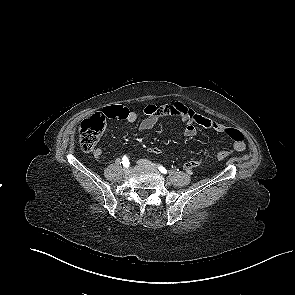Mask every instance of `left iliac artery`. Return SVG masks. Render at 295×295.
<instances>
[{
	"instance_id": "44dca946",
	"label": "left iliac artery",
	"mask_w": 295,
	"mask_h": 295,
	"mask_svg": "<svg viewBox=\"0 0 295 295\" xmlns=\"http://www.w3.org/2000/svg\"><path fill=\"white\" fill-rule=\"evenodd\" d=\"M158 169H159V171H160L161 173H163V174H167V169H166L165 167L159 165V166H158Z\"/></svg>"
}]
</instances>
